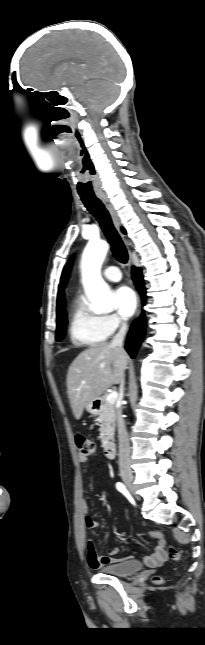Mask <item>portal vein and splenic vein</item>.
<instances>
[{"label":"portal vein and splenic vein","mask_w":205,"mask_h":645,"mask_svg":"<svg viewBox=\"0 0 205 645\" xmlns=\"http://www.w3.org/2000/svg\"><path fill=\"white\" fill-rule=\"evenodd\" d=\"M117 397H118V393L117 392H112L107 396V401L115 402Z\"/></svg>","instance_id":"portal-vein-and-splenic-vein-1"}]
</instances>
